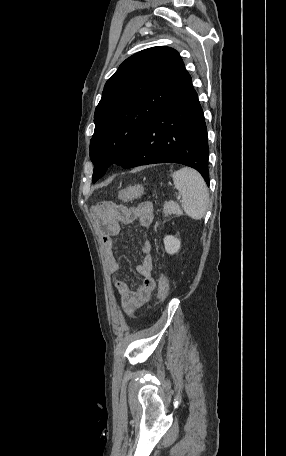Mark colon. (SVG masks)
<instances>
[{
	"label": "colon",
	"instance_id": "obj_1",
	"mask_svg": "<svg viewBox=\"0 0 286 456\" xmlns=\"http://www.w3.org/2000/svg\"><path fill=\"white\" fill-rule=\"evenodd\" d=\"M143 192V187L142 186H131L122 189L118 197L121 200H129V199H134L140 196ZM113 207V202L110 201H104L101 202L97 205V208L99 210H111ZM169 293V282L166 277H162L159 282V289H158V299L160 301H163Z\"/></svg>",
	"mask_w": 286,
	"mask_h": 456
}]
</instances>
